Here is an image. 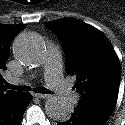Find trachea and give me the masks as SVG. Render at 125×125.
<instances>
[{"label":"trachea","mask_w":125,"mask_h":125,"mask_svg":"<svg viewBox=\"0 0 125 125\" xmlns=\"http://www.w3.org/2000/svg\"><path fill=\"white\" fill-rule=\"evenodd\" d=\"M6 86L9 89H13V90H17V91H30L31 90V88L28 87V86H15V85H12V84H9V83H6ZM34 91H36L38 93H43V94H50V93H52L47 88H42V87L36 88V89H34Z\"/></svg>","instance_id":"obj_1"}]
</instances>
